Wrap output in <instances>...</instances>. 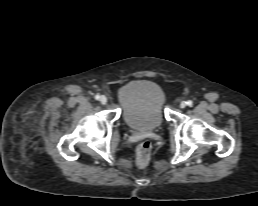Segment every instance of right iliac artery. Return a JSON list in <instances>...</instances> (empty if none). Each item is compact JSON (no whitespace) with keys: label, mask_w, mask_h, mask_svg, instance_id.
<instances>
[{"label":"right iliac artery","mask_w":258,"mask_h":206,"mask_svg":"<svg viewBox=\"0 0 258 206\" xmlns=\"http://www.w3.org/2000/svg\"><path fill=\"white\" fill-rule=\"evenodd\" d=\"M95 99H96V100H99V99H100V95H98V94L95 95Z\"/></svg>","instance_id":"1"}]
</instances>
